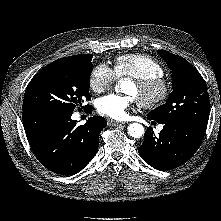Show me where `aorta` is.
Listing matches in <instances>:
<instances>
[{
  "label": "aorta",
  "instance_id": "1",
  "mask_svg": "<svg viewBox=\"0 0 221 221\" xmlns=\"http://www.w3.org/2000/svg\"><path fill=\"white\" fill-rule=\"evenodd\" d=\"M128 134L133 138H140L144 135V127L140 123H132L128 126Z\"/></svg>",
  "mask_w": 221,
  "mask_h": 221
}]
</instances>
